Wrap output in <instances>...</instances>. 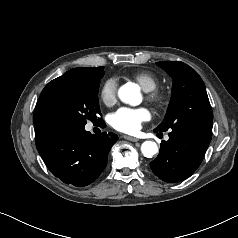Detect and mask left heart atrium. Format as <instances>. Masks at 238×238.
<instances>
[{"label": "left heart atrium", "mask_w": 238, "mask_h": 238, "mask_svg": "<svg viewBox=\"0 0 238 238\" xmlns=\"http://www.w3.org/2000/svg\"><path fill=\"white\" fill-rule=\"evenodd\" d=\"M151 118V113L146 107L120 108L111 115V125L124 133L137 132L142 123Z\"/></svg>", "instance_id": "39dd6f15"}]
</instances>
